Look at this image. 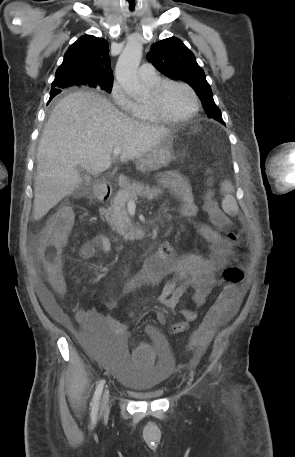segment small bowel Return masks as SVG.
I'll return each instance as SVG.
<instances>
[{"label": "small bowel", "mask_w": 295, "mask_h": 457, "mask_svg": "<svg viewBox=\"0 0 295 457\" xmlns=\"http://www.w3.org/2000/svg\"><path fill=\"white\" fill-rule=\"evenodd\" d=\"M161 184L180 200L178 211L182 217L191 218L197 214V206L193 199L191 187L184 177L169 173L162 178ZM167 210L168 208L165 209V211ZM198 230L200 235L209 243V253L206 256L196 253H179L169 241H164L159 246L157 253L145 261L139 275L125 285L123 294L128 295L142 285L161 286L160 302L173 309L187 290L191 289L193 304L196 307L204 305L212 289L216 286V273L225 268L233 257L234 246L238 240L226 238L217 229L206 224H199ZM96 248L104 253H109L111 251L109 238L101 234L93 241L86 243L81 249V256L83 258L92 257ZM166 278L169 279L164 281ZM38 295L50 314L62 321L67 319L50 292L43 285L38 287ZM239 302L240 299L235 309ZM181 313L184 320L172 325L173 333L185 332L190 323L198 317L197 311L190 308L182 309ZM156 317L160 322L166 320L162 312H157ZM77 320L84 331L91 335V338H96V334L99 332L122 335L127 329L124 323L109 315L101 314L95 309L79 311ZM146 332L156 343V346L165 345L157 327L148 325ZM202 351L203 349L197 350V357L202 354Z\"/></svg>", "instance_id": "1"}]
</instances>
